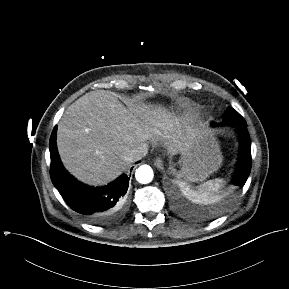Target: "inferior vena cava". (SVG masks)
I'll return each mask as SVG.
<instances>
[{"mask_svg":"<svg viewBox=\"0 0 289 289\" xmlns=\"http://www.w3.org/2000/svg\"><path fill=\"white\" fill-rule=\"evenodd\" d=\"M148 153V146L143 144L137 148L131 150L126 156L125 160L128 162H135L141 160Z\"/></svg>","mask_w":289,"mask_h":289,"instance_id":"602c4592","label":"inferior vena cava"}]
</instances>
